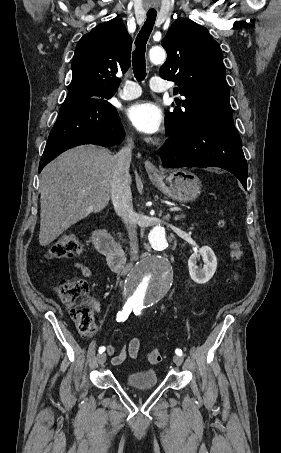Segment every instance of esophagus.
Here are the masks:
<instances>
[{
  "mask_svg": "<svg viewBox=\"0 0 281 453\" xmlns=\"http://www.w3.org/2000/svg\"><path fill=\"white\" fill-rule=\"evenodd\" d=\"M144 165H145L146 172L149 175L158 174V169L155 167V165L150 160H145Z\"/></svg>",
  "mask_w": 281,
  "mask_h": 453,
  "instance_id": "esophagus-1",
  "label": "esophagus"
}]
</instances>
